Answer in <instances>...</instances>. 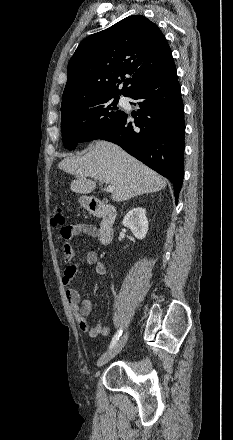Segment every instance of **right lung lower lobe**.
I'll return each mask as SVG.
<instances>
[{
  "mask_svg": "<svg viewBox=\"0 0 233 440\" xmlns=\"http://www.w3.org/2000/svg\"><path fill=\"white\" fill-rule=\"evenodd\" d=\"M139 106L135 127L127 114L100 139L126 152L171 180L177 201L183 182L184 105L174 67L130 96Z\"/></svg>",
  "mask_w": 233,
  "mask_h": 440,
  "instance_id": "right-lung-lower-lobe-1",
  "label": "right lung lower lobe"
}]
</instances>
